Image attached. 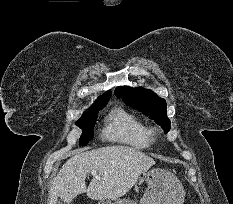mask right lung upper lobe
I'll return each instance as SVG.
<instances>
[{
	"label": "right lung upper lobe",
	"mask_w": 233,
	"mask_h": 204,
	"mask_svg": "<svg viewBox=\"0 0 233 204\" xmlns=\"http://www.w3.org/2000/svg\"><path fill=\"white\" fill-rule=\"evenodd\" d=\"M110 96H111V92L108 91V92L105 93L103 96H101V97L95 102V104L108 101L109 98H110ZM95 104H94V105H95Z\"/></svg>",
	"instance_id": "right-lung-upper-lobe-1"
}]
</instances>
